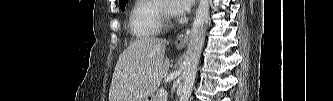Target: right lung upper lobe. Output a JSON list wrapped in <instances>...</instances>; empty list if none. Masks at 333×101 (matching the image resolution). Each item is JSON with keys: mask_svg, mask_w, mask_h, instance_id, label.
Masks as SVG:
<instances>
[{"mask_svg": "<svg viewBox=\"0 0 333 101\" xmlns=\"http://www.w3.org/2000/svg\"><path fill=\"white\" fill-rule=\"evenodd\" d=\"M127 0H120V4L125 3Z\"/></svg>", "mask_w": 333, "mask_h": 101, "instance_id": "right-lung-upper-lobe-1", "label": "right lung upper lobe"}]
</instances>
